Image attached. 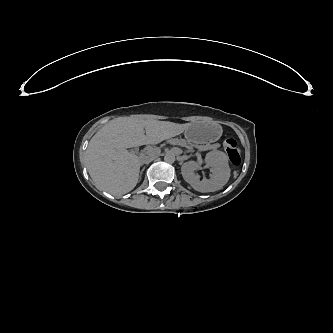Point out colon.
I'll use <instances>...</instances> for the list:
<instances>
[{
    "label": "colon",
    "mask_w": 333,
    "mask_h": 333,
    "mask_svg": "<svg viewBox=\"0 0 333 333\" xmlns=\"http://www.w3.org/2000/svg\"><path fill=\"white\" fill-rule=\"evenodd\" d=\"M223 146L233 165H239L241 162V154L237 147V142L233 138H227L223 142Z\"/></svg>",
    "instance_id": "colon-1"
}]
</instances>
